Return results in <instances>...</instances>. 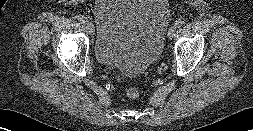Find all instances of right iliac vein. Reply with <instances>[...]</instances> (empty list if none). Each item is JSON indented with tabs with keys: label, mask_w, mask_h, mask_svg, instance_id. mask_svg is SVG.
Masks as SVG:
<instances>
[{
	"label": "right iliac vein",
	"mask_w": 253,
	"mask_h": 131,
	"mask_svg": "<svg viewBox=\"0 0 253 131\" xmlns=\"http://www.w3.org/2000/svg\"><path fill=\"white\" fill-rule=\"evenodd\" d=\"M86 27H87L88 31H89L91 34L94 33L95 27H94V25H93L92 22L87 21V22H86Z\"/></svg>",
	"instance_id": "1"
}]
</instances>
